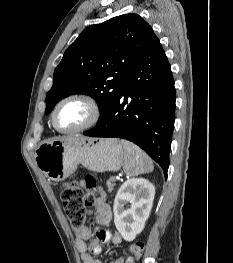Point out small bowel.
<instances>
[{"label": "small bowel", "instance_id": "small-bowel-1", "mask_svg": "<svg viewBox=\"0 0 233 263\" xmlns=\"http://www.w3.org/2000/svg\"><path fill=\"white\" fill-rule=\"evenodd\" d=\"M94 205L96 207L95 222L100 226H107L112 221V209L106 200V195L100 191ZM122 242L119 233H112L109 229L99 228L96 235L91 239V232L88 228L83 227L75 239L76 248L81 256L82 263H101L95 255L101 251V246L106 243L118 245ZM112 263H133V259L129 257H120Z\"/></svg>", "mask_w": 233, "mask_h": 263}]
</instances>
